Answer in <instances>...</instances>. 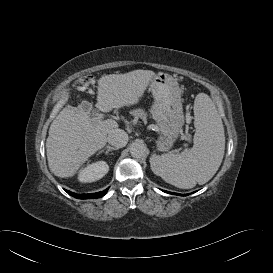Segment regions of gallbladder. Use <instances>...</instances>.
<instances>
[{
	"label": "gallbladder",
	"instance_id": "bac80fb5",
	"mask_svg": "<svg viewBox=\"0 0 273 273\" xmlns=\"http://www.w3.org/2000/svg\"><path fill=\"white\" fill-rule=\"evenodd\" d=\"M82 107H83L85 110H91V106H90L88 103H83V104H82Z\"/></svg>",
	"mask_w": 273,
	"mask_h": 273
}]
</instances>
